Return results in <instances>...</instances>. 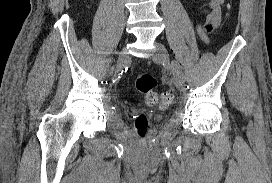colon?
<instances>
[{
  "instance_id": "1",
  "label": "colon",
  "mask_w": 272,
  "mask_h": 183,
  "mask_svg": "<svg viewBox=\"0 0 272 183\" xmlns=\"http://www.w3.org/2000/svg\"><path fill=\"white\" fill-rule=\"evenodd\" d=\"M136 89L145 96L148 104L167 106L172 101V95L170 93H157L155 88L157 86V80L148 73L140 74L135 81ZM137 134L144 138L148 130V121L144 115H140L135 123Z\"/></svg>"
}]
</instances>
